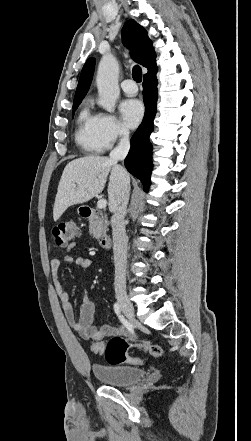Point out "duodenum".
I'll return each instance as SVG.
<instances>
[{
	"instance_id": "duodenum-1",
	"label": "duodenum",
	"mask_w": 251,
	"mask_h": 441,
	"mask_svg": "<svg viewBox=\"0 0 251 441\" xmlns=\"http://www.w3.org/2000/svg\"><path fill=\"white\" fill-rule=\"evenodd\" d=\"M81 215L84 218H90L93 215V211L89 207L81 208ZM98 242L103 249H108L111 245V237L107 233H103L99 236Z\"/></svg>"
}]
</instances>
